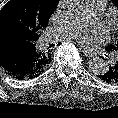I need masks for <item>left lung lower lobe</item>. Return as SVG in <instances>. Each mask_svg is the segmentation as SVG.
Segmentation results:
<instances>
[{
    "instance_id": "1",
    "label": "left lung lower lobe",
    "mask_w": 118,
    "mask_h": 118,
    "mask_svg": "<svg viewBox=\"0 0 118 118\" xmlns=\"http://www.w3.org/2000/svg\"><path fill=\"white\" fill-rule=\"evenodd\" d=\"M99 78L107 83H118V60L116 59L112 64L107 67L105 72L99 75Z\"/></svg>"
}]
</instances>
